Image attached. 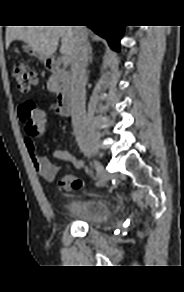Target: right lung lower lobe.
<instances>
[{"label": "right lung lower lobe", "mask_w": 184, "mask_h": 292, "mask_svg": "<svg viewBox=\"0 0 184 292\" xmlns=\"http://www.w3.org/2000/svg\"><path fill=\"white\" fill-rule=\"evenodd\" d=\"M88 27L91 28L96 34L107 39L111 48L119 51V42L122 38L124 26L91 24L88 25Z\"/></svg>", "instance_id": "right-lung-lower-lobe-1"}]
</instances>
